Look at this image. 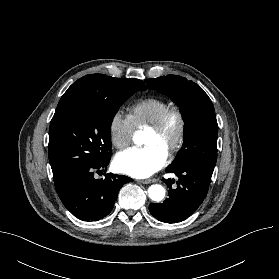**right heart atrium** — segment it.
I'll return each instance as SVG.
<instances>
[{"instance_id":"1","label":"right heart atrium","mask_w":279,"mask_h":279,"mask_svg":"<svg viewBox=\"0 0 279 279\" xmlns=\"http://www.w3.org/2000/svg\"><path fill=\"white\" fill-rule=\"evenodd\" d=\"M108 128L110 140L118 149H123L131 143L136 130L130 116L121 111H116L111 116Z\"/></svg>"}]
</instances>
